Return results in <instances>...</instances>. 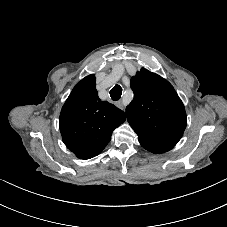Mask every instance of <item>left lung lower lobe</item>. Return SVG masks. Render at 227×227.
Here are the masks:
<instances>
[{
    "label": "left lung lower lobe",
    "mask_w": 227,
    "mask_h": 227,
    "mask_svg": "<svg viewBox=\"0 0 227 227\" xmlns=\"http://www.w3.org/2000/svg\"><path fill=\"white\" fill-rule=\"evenodd\" d=\"M135 132L138 135V141L142 147L152 153L161 154L171 150L174 147L172 143L163 140L143 129H137Z\"/></svg>",
    "instance_id": "0a47b994"
}]
</instances>
